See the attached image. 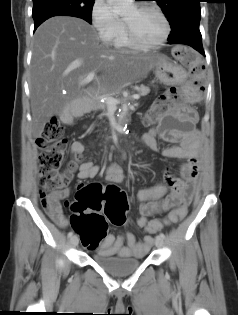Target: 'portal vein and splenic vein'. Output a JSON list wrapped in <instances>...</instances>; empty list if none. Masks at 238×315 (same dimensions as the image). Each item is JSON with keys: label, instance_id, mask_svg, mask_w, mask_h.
Instances as JSON below:
<instances>
[{"label": "portal vein and splenic vein", "instance_id": "obj_1", "mask_svg": "<svg viewBox=\"0 0 238 315\" xmlns=\"http://www.w3.org/2000/svg\"><path fill=\"white\" fill-rule=\"evenodd\" d=\"M95 77V73L91 72L87 75V77L85 79L82 80L81 84H87L90 81L93 80V78ZM100 99L104 98L106 100L107 105H115L118 103V100L113 98V97H104V96H99ZM133 99L138 100L140 98L139 94H134L132 95Z\"/></svg>", "mask_w": 238, "mask_h": 315}]
</instances>
